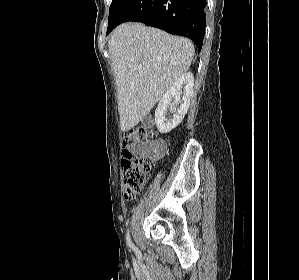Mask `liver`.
Listing matches in <instances>:
<instances>
[{
	"label": "liver",
	"instance_id": "liver-1",
	"mask_svg": "<svg viewBox=\"0 0 299 280\" xmlns=\"http://www.w3.org/2000/svg\"><path fill=\"white\" fill-rule=\"evenodd\" d=\"M122 131L136 126L185 73L195 50L192 42L141 23L118 26L108 41ZM141 68L143 73H139Z\"/></svg>",
	"mask_w": 299,
	"mask_h": 280
}]
</instances>
